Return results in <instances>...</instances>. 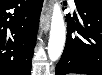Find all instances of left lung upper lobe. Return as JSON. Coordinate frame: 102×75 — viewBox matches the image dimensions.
<instances>
[{"label":"left lung upper lobe","instance_id":"left-lung-upper-lobe-1","mask_svg":"<svg viewBox=\"0 0 102 75\" xmlns=\"http://www.w3.org/2000/svg\"><path fill=\"white\" fill-rule=\"evenodd\" d=\"M85 1H91L94 3L102 4V0H85Z\"/></svg>","mask_w":102,"mask_h":75}]
</instances>
